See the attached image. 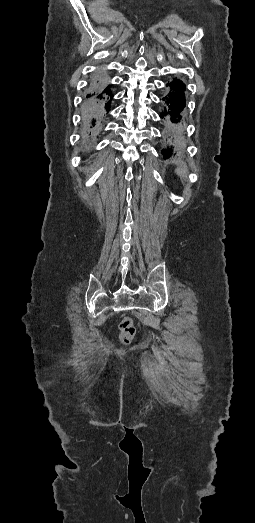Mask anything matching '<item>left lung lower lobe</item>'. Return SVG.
I'll list each match as a JSON object with an SVG mask.
<instances>
[{"mask_svg":"<svg viewBox=\"0 0 255 523\" xmlns=\"http://www.w3.org/2000/svg\"><path fill=\"white\" fill-rule=\"evenodd\" d=\"M163 88H173L169 89V92H165V95H162V97H160L159 100V103H163L164 109H166V111H162V109H159L158 119H166L168 123L166 129L163 130V137L167 136L165 135V132H168V134L172 135H178V132H176L175 129H177V131H180V123H185V118H183V116H180V113L178 112H183V109H186V107L189 104V99L186 96V93L184 92V90H186V87H184V85H181V82L179 80H166L164 82ZM176 92H178V95H176ZM172 98H174V100H172ZM166 140V144L168 146L178 144V141H174L173 139H170V137H166ZM175 140H182V137H175ZM175 151H177V148L175 147L164 148L162 150V155L164 156L161 157V160L164 162H169L174 157L173 152Z\"/></svg>","mask_w":255,"mask_h":523,"instance_id":"left-lung-lower-lobe-1","label":"left lung lower lobe"}]
</instances>
